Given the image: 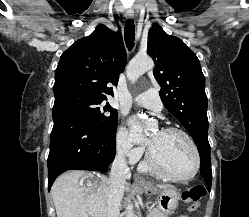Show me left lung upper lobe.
Returning <instances> with one entry per match:
<instances>
[{
	"label": "left lung upper lobe",
	"instance_id": "5c2ea615",
	"mask_svg": "<svg viewBox=\"0 0 249 217\" xmlns=\"http://www.w3.org/2000/svg\"><path fill=\"white\" fill-rule=\"evenodd\" d=\"M147 54L154 62V77L164 106L194 139L201 160L200 172L211 173L205 77L197 56L184 42L154 25Z\"/></svg>",
	"mask_w": 249,
	"mask_h": 217
}]
</instances>
